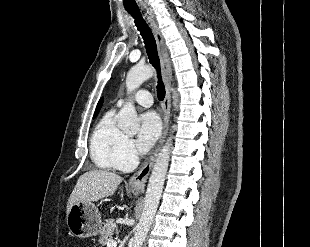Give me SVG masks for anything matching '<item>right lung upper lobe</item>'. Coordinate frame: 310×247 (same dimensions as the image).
<instances>
[{
    "instance_id": "cb5924a9",
    "label": "right lung upper lobe",
    "mask_w": 310,
    "mask_h": 247,
    "mask_svg": "<svg viewBox=\"0 0 310 247\" xmlns=\"http://www.w3.org/2000/svg\"><path fill=\"white\" fill-rule=\"evenodd\" d=\"M102 101H103V98H101L100 101L98 102V105L96 107V111H95V115L94 116H96V114L99 112V109H100V107L102 105Z\"/></svg>"
}]
</instances>
